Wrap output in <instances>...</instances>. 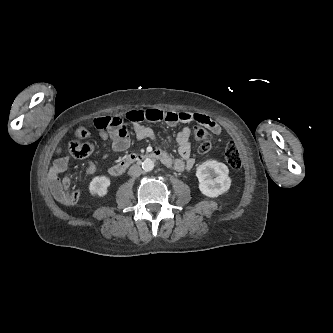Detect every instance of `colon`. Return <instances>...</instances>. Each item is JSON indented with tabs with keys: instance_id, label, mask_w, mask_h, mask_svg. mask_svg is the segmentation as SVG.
I'll return each instance as SVG.
<instances>
[{
	"instance_id": "5ec220e1",
	"label": "colon",
	"mask_w": 333,
	"mask_h": 333,
	"mask_svg": "<svg viewBox=\"0 0 333 333\" xmlns=\"http://www.w3.org/2000/svg\"><path fill=\"white\" fill-rule=\"evenodd\" d=\"M125 119L127 120L126 116ZM161 117L157 116L156 120H160ZM94 125L99 130H117L119 132H126V124L124 118L120 116H100L94 120ZM77 132L81 135L86 133V129L80 127ZM193 135L196 140L200 142L198 151L200 154H207L211 150V134L204 127H196L193 131ZM69 152L75 158H85L91 155L94 151V145L92 143L71 141L68 144ZM225 160L227 164L235 171L241 168V157L239 150L234 142H229L225 147Z\"/></svg>"
}]
</instances>
